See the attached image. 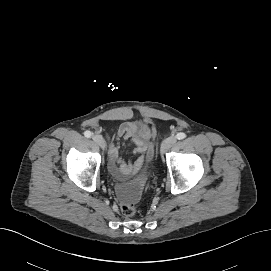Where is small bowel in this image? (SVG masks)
Masks as SVG:
<instances>
[{"label": "small bowel", "mask_w": 271, "mask_h": 271, "mask_svg": "<svg viewBox=\"0 0 271 271\" xmlns=\"http://www.w3.org/2000/svg\"><path fill=\"white\" fill-rule=\"evenodd\" d=\"M154 131L152 127L141 121L123 122L117 129V142H114L107 135L110 171L118 179L137 173L145 162L152 159L153 145L152 137ZM121 140L129 141L133 146V153L136 158L126 162L120 158Z\"/></svg>", "instance_id": "1"}]
</instances>
